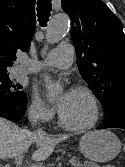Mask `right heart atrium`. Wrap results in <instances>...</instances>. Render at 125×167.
Returning <instances> with one entry per match:
<instances>
[{"instance_id":"right-heart-atrium-1","label":"right heart atrium","mask_w":125,"mask_h":167,"mask_svg":"<svg viewBox=\"0 0 125 167\" xmlns=\"http://www.w3.org/2000/svg\"><path fill=\"white\" fill-rule=\"evenodd\" d=\"M29 116L39 123H49L54 118V112L36 94H32L28 104Z\"/></svg>"}]
</instances>
